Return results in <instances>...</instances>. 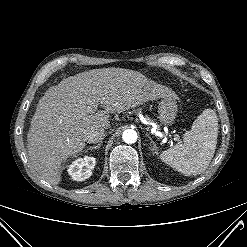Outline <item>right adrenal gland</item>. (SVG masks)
<instances>
[{
  "label": "right adrenal gland",
  "mask_w": 247,
  "mask_h": 247,
  "mask_svg": "<svg viewBox=\"0 0 247 247\" xmlns=\"http://www.w3.org/2000/svg\"><path fill=\"white\" fill-rule=\"evenodd\" d=\"M101 147V143H99L98 145H96V146H90V147H88L87 148V151L88 150H93V149H99Z\"/></svg>",
  "instance_id": "obj_1"
}]
</instances>
